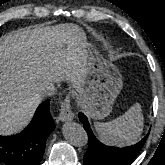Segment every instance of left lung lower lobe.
Wrapping results in <instances>:
<instances>
[{
  "label": "left lung lower lobe",
  "mask_w": 165,
  "mask_h": 165,
  "mask_svg": "<svg viewBox=\"0 0 165 165\" xmlns=\"http://www.w3.org/2000/svg\"><path fill=\"white\" fill-rule=\"evenodd\" d=\"M79 119L83 123L84 129L88 135L89 146L84 155V165H128L138 155L149 133L137 144L118 148L110 147L99 142L94 136L87 117L83 113H79Z\"/></svg>",
  "instance_id": "0a47b994"
}]
</instances>
